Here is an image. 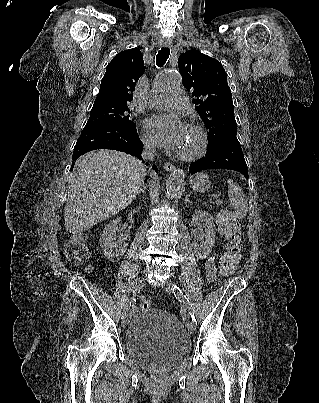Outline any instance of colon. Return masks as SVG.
<instances>
[{
	"label": "colon",
	"instance_id": "1",
	"mask_svg": "<svg viewBox=\"0 0 319 403\" xmlns=\"http://www.w3.org/2000/svg\"><path fill=\"white\" fill-rule=\"evenodd\" d=\"M222 237L226 241L225 251L219 260V270L222 274H231L239 265L242 258L241 227L232 216H223L219 222ZM64 254L67 261L76 266L84 265L89 257L86 237L75 235L64 244ZM139 306L146 310L151 306L147 298H140Z\"/></svg>",
	"mask_w": 319,
	"mask_h": 403
}]
</instances>
